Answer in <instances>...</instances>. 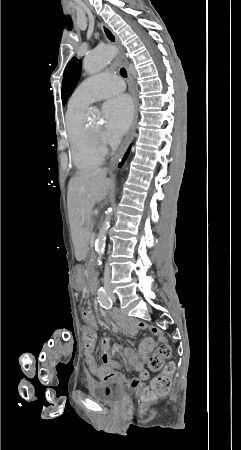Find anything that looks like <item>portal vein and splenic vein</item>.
Masks as SVG:
<instances>
[{
    "label": "portal vein and splenic vein",
    "mask_w": 241,
    "mask_h": 450,
    "mask_svg": "<svg viewBox=\"0 0 241 450\" xmlns=\"http://www.w3.org/2000/svg\"><path fill=\"white\" fill-rule=\"evenodd\" d=\"M88 236H91V233H88Z\"/></svg>",
    "instance_id": "portal-vein-and-splenic-vein-1"
}]
</instances>
